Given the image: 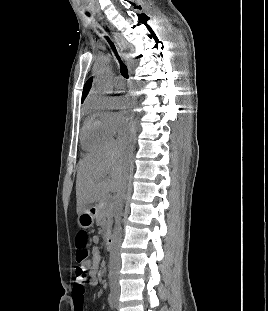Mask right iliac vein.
Returning a JSON list of instances; mask_svg holds the SVG:
<instances>
[{"instance_id": "63e3f726", "label": "right iliac vein", "mask_w": 268, "mask_h": 311, "mask_svg": "<svg viewBox=\"0 0 268 311\" xmlns=\"http://www.w3.org/2000/svg\"><path fill=\"white\" fill-rule=\"evenodd\" d=\"M112 294H113V296H114L115 298H117L118 295H119V291L114 289V290L112 291Z\"/></svg>"}]
</instances>
